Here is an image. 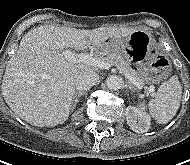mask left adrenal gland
Listing matches in <instances>:
<instances>
[{
    "mask_svg": "<svg viewBox=\"0 0 190 165\" xmlns=\"http://www.w3.org/2000/svg\"><path fill=\"white\" fill-rule=\"evenodd\" d=\"M128 86H129V88H130V89H132V88H133V86L131 85V83H130V82H128Z\"/></svg>",
    "mask_w": 190,
    "mask_h": 165,
    "instance_id": "1",
    "label": "left adrenal gland"
}]
</instances>
